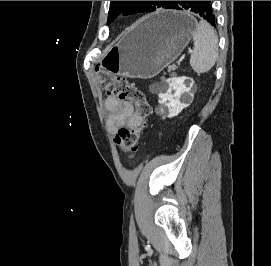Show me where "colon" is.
Instances as JSON below:
<instances>
[{"label": "colon", "mask_w": 271, "mask_h": 266, "mask_svg": "<svg viewBox=\"0 0 271 266\" xmlns=\"http://www.w3.org/2000/svg\"><path fill=\"white\" fill-rule=\"evenodd\" d=\"M97 79L101 88L108 95L133 104L143 120H146L150 115L151 107L146 94L135 84L105 69L97 70ZM142 131L143 125L139 127H121L115 135L114 142L122 152H134L138 147Z\"/></svg>", "instance_id": "5ec220e1"}]
</instances>
